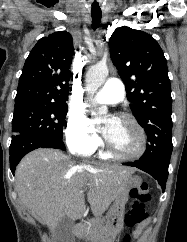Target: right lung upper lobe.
<instances>
[{
  "label": "right lung upper lobe",
  "mask_w": 187,
  "mask_h": 242,
  "mask_svg": "<svg viewBox=\"0 0 187 242\" xmlns=\"http://www.w3.org/2000/svg\"><path fill=\"white\" fill-rule=\"evenodd\" d=\"M73 55L70 33L60 31L41 38L24 64L15 107L28 104L67 105Z\"/></svg>",
  "instance_id": "right-lung-upper-lobe-1"
}]
</instances>
